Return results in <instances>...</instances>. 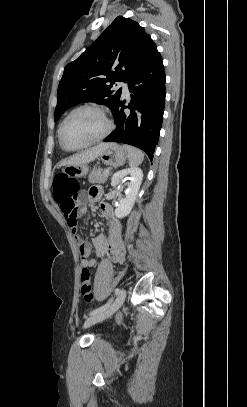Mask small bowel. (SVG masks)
Segmentation results:
<instances>
[{"label":"small bowel","instance_id":"small-bowel-1","mask_svg":"<svg viewBox=\"0 0 247 407\" xmlns=\"http://www.w3.org/2000/svg\"><path fill=\"white\" fill-rule=\"evenodd\" d=\"M100 195V189L92 187L86 193L78 194L72 199L59 203L67 225L79 245L82 266L87 268H91L96 264V260L90 258L92 248H94L98 257L108 255L118 263L122 262L125 256V248L121 237V224L115 216L113 208L107 203H99V210L108 226L109 239L104 234H99L90 243L78 236V218L86 212L85 201L97 202Z\"/></svg>","mask_w":247,"mask_h":407}]
</instances>
